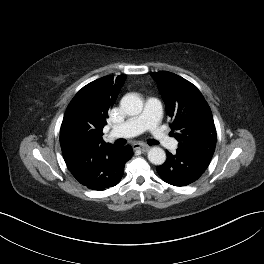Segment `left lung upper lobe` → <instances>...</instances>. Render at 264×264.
I'll use <instances>...</instances> for the list:
<instances>
[{
  "label": "left lung upper lobe",
  "mask_w": 264,
  "mask_h": 264,
  "mask_svg": "<svg viewBox=\"0 0 264 264\" xmlns=\"http://www.w3.org/2000/svg\"><path fill=\"white\" fill-rule=\"evenodd\" d=\"M171 118V133L179 141L178 149L187 154L212 157L216 129L209 105L189 81L168 72L151 73Z\"/></svg>",
  "instance_id": "1"
}]
</instances>
